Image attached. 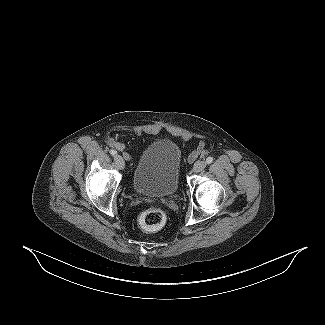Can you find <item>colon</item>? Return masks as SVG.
I'll return each instance as SVG.
<instances>
[{
	"label": "colon",
	"mask_w": 325,
	"mask_h": 325,
	"mask_svg": "<svg viewBox=\"0 0 325 325\" xmlns=\"http://www.w3.org/2000/svg\"><path fill=\"white\" fill-rule=\"evenodd\" d=\"M166 222L165 213L159 208H150L140 217V226L146 231H156L164 226Z\"/></svg>",
	"instance_id": "colon-1"
}]
</instances>
